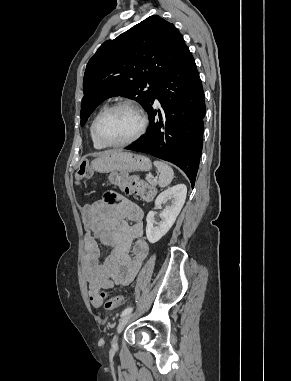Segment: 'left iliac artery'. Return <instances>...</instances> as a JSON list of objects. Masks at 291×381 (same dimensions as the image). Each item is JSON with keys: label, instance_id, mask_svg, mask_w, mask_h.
I'll use <instances>...</instances> for the list:
<instances>
[{"label": "left iliac artery", "instance_id": "44dca946", "mask_svg": "<svg viewBox=\"0 0 291 381\" xmlns=\"http://www.w3.org/2000/svg\"><path fill=\"white\" fill-rule=\"evenodd\" d=\"M133 310V307H127L126 309H124V311L122 312L121 314V317H123L124 315L128 314V313H131Z\"/></svg>", "mask_w": 291, "mask_h": 381}]
</instances>
